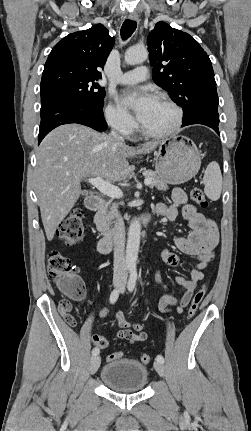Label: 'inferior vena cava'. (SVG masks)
<instances>
[{"label":"inferior vena cava","mask_w":251,"mask_h":431,"mask_svg":"<svg viewBox=\"0 0 251 431\" xmlns=\"http://www.w3.org/2000/svg\"><path fill=\"white\" fill-rule=\"evenodd\" d=\"M111 136L117 141L124 143V139L115 129L111 131ZM114 241V279L126 280V263H125V225L121 216L117 217L113 229Z\"/></svg>","instance_id":"1"}]
</instances>
